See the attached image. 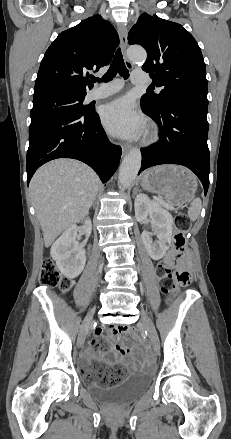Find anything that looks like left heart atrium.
Returning a JSON list of instances; mask_svg holds the SVG:
<instances>
[{
  "label": "left heart atrium",
  "mask_w": 231,
  "mask_h": 439,
  "mask_svg": "<svg viewBox=\"0 0 231 439\" xmlns=\"http://www.w3.org/2000/svg\"><path fill=\"white\" fill-rule=\"evenodd\" d=\"M101 120L112 135L120 138H137L145 128L144 118L136 110L133 101L127 97H120L106 104L101 111Z\"/></svg>",
  "instance_id": "39dd6f15"
}]
</instances>
